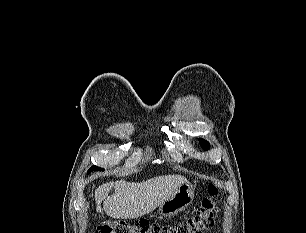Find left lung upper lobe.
Segmentation results:
<instances>
[{
	"mask_svg": "<svg viewBox=\"0 0 306 233\" xmlns=\"http://www.w3.org/2000/svg\"><path fill=\"white\" fill-rule=\"evenodd\" d=\"M199 143L201 145V147L205 150H208L210 145H209V142L205 141L204 139H199Z\"/></svg>",
	"mask_w": 306,
	"mask_h": 233,
	"instance_id": "obj_1",
	"label": "left lung upper lobe"
}]
</instances>
